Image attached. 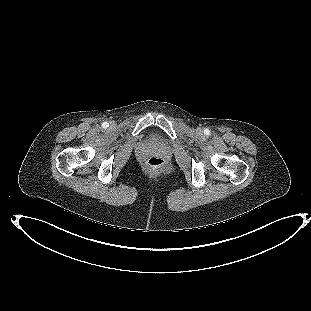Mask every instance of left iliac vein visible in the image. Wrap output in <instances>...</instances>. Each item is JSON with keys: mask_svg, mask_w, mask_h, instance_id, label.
<instances>
[{"mask_svg": "<svg viewBox=\"0 0 311 311\" xmlns=\"http://www.w3.org/2000/svg\"><path fill=\"white\" fill-rule=\"evenodd\" d=\"M197 131H198L199 133H201L202 130H201V129H198Z\"/></svg>", "mask_w": 311, "mask_h": 311, "instance_id": "obj_1", "label": "left iliac vein"}]
</instances>
